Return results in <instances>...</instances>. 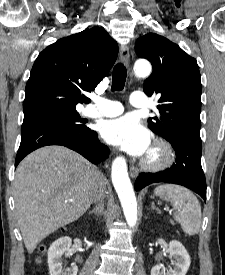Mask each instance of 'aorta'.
Masks as SVG:
<instances>
[{"instance_id": "aorta-1", "label": "aorta", "mask_w": 225, "mask_h": 275, "mask_svg": "<svg viewBox=\"0 0 225 275\" xmlns=\"http://www.w3.org/2000/svg\"><path fill=\"white\" fill-rule=\"evenodd\" d=\"M134 72L137 77H146L151 73V65L147 61L135 63ZM113 186L121 202L127 224L134 227L137 222V201L128 176L127 163L124 157L114 159L111 169Z\"/></svg>"}]
</instances>
